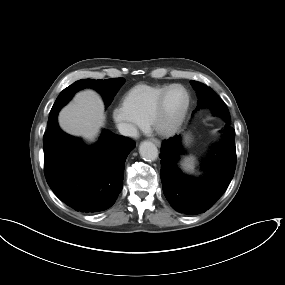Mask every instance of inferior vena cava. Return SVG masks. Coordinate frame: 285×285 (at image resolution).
<instances>
[{
    "label": "inferior vena cava",
    "mask_w": 285,
    "mask_h": 285,
    "mask_svg": "<svg viewBox=\"0 0 285 285\" xmlns=\"http://www.w3.org/2000/svg\"><path fill=\"white\" fill-rule=\"evenodd\" d=\"M118 130L120 134L124 136H130V137L138 136L137 128L134 125L129 124V123H119Z\"/></svg>",
    "instance_id": "602c4592"
}]
</instances>
